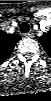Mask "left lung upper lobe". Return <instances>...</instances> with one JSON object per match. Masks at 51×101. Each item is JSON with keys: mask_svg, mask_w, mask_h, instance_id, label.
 Listing matches in <instances>:
<instances>
[{"mask_svg": "<svg viewBox=\"0 0 51 101\" xmlns=\"http://www.w3.org/2000/svg\"><path fill=\"white\" fill-rule=\"evenodd\" d=\"M39 42L45 49L46 53L51 56V32L44 33V35L39 38Z\"/></svg>", "mask_w": 51, "mask_h": 101, "instance_id": "1", "label": "left lung upper lobe"}]
</instances>
